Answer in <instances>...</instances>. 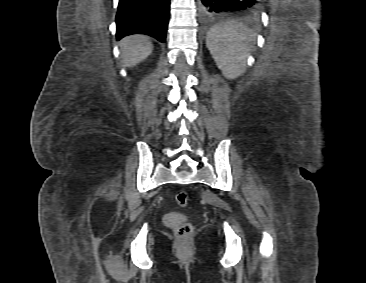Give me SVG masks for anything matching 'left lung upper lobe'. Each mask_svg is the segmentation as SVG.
<instances>
[{
  "mask_svg": "<svg viewBox=\"0 0 366 283\" xmlns=\"http://www.w3.org/2000/svg\"><path fill=\"white\" fill-rule=\"evenodd\" d=\"M259 11H260V8H258L257 10L248 11V13L257 15L259 13Z\"/></svg>",
  "mask_w": 366,
  "mask_h": 283,
  "instance_id": "left-lung-upper-lobe-1",
  "label": "left lung upper lobe"
}]
</instances>
